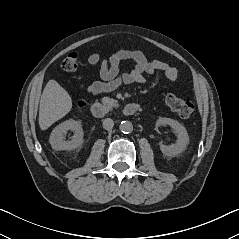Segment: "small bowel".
I'll list each match as a JSON object with an SVG mask.
<instances>
[{
  "mask_svg": "<svg viewBox=\"0 0 239 239\" xmlns=\"http://www.w3.org/2000/svg\"><path fill=\"white\" fill-rule=\"evenodd\" d=\"M130 60L134 63L128 72L120 71L122 61ZM91 65H99L101 80L91 84H83L81 87L94 94L108 93L116 90L121 85L141 84L145 81V74L162 72L166 79L175 82L178 71L175 67L161 60H149L141 51L120 49L109 58H103L98 53H92L88 57Z\"/></svg>",
  "mask_w": 239,
  "mask_h": 239,
  "instance_id": "obj_1",
  "label": "small bowel"
}]
</instances>
